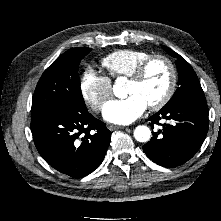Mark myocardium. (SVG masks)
I'll list each match as a JSON object with an SVG mask.
<instances>
[{
    "instance_id": "1",
    "label": "myocardium",
    "mask_w": 221,
    "mask_h": 221,
    "mask_svg": "<svg viewBox=\"0 0 221 221\" xmlns=\"http://www.w3.org/2000/svg\"><path fill=\"white\" fill-rule=\"evenodd\" d=\"M155 60H162L168 66L170 72V81L164 95L158 101L148 105L149 108L152 110H158L164 107L175 93L178 74L174 62L164 54H153L144 59L142 62H140L133 71V73L129 76V81H140L144 77L149 65Z\"/></svg>"
}]
</instances>
